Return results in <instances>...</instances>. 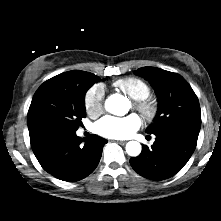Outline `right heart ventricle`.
<instances>
[{
    "label": "right heart ventricle",
    "mask_w": 221,
    "mask_h": 221,
    "mask_svg": "<svg viewBox=\"0 0 221 221\" xmlns=\"http://www.w3.org/2000/svg\"><path fill=\"white\" fill-rule=\"evenodd\" d=\"M113 87L134 100L146 99L151 93L149 85L136 77L119 79L113 83Z\"/></svg>",
    "instance_id": "e07e8e85"
}]
</instances>
